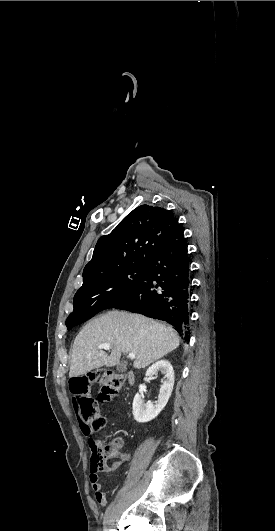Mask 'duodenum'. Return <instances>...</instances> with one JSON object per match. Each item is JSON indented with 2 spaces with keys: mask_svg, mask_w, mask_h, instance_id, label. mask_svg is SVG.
<instances>
[{
  "mask_svg": "<svg viewBox=\"0 0 275 531\" xmlns=\"http://www.w3.org/2000/svg\"><path fill=\"white\" fill-rule=\"evenodd\" d=\"M126 379H127V382L128 384L131 386L134 384L135 382V376L133 374V372H128L127 375H126Z\"/></svg>",
  "mask_w": 275,
  "mask_h": 531,
  "instance_id": "410a0bca",
  "label": "duodenum"
}]
</instances>
